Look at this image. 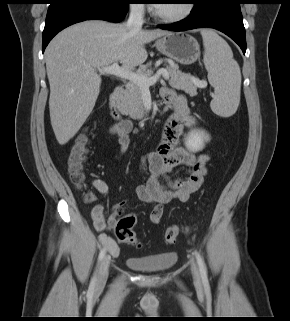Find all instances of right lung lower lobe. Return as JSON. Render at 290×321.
Listing matches in <instances>:
<instances>
[{
	"mask_svg": "<svg viewBox=\"0 0 290 321\" xmlns=\"http://www.w3.org/2000/svg\"><path fill=\"white\" fill-rule=\"evenodd\" d=\"M130 2L92 3L60 0L51 2L42 35V51L50 40L62 29L85 20H106L120 22L128 11Z\"/></svg>",
	"mask_w": 290,
	"mask_h": 321,
	"instance_id": "right-lung-lower-lobe-1",
	"label": "right lung lower lobe"
}]
</instances>
